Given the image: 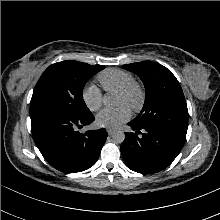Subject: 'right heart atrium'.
<instances>
[{"label": "right heart atrium", "mask_w": 220, "mask_h": 220, "mask_svg": "<svg viewBox=\"0 0 220 220\" xmlns=\"http://www.w3.org/2000/svg\"><path fill=\"white\" fill-rule=\"evenodd\" d=\"M82 100L90 111H97L103 102L100 89L94 84H88L82 91Z\"/></svg>", "instance_id": "right-heart-atrium-1"}]
</instances>
